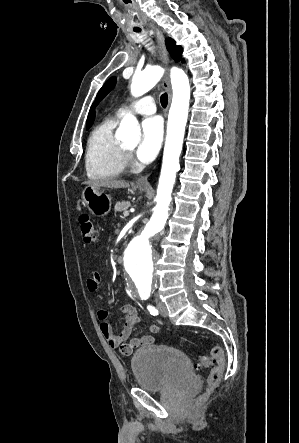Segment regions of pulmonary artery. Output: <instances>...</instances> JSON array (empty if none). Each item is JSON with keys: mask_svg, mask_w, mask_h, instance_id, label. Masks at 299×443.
Listing matches in <instances>:
<instances>
[{"mask_svg": "<svg viewBox=\"0 0 299 443\" xmlns=\"http://www.w3.org/2000/svg\"><path fill=\"white\" fill-rule=\"evenodd\" d=\"M127 111H133L141 115H151L156 111L154 99L151 96H145L129 106L120 108L115 115L120 117Z\"/></svg>", "mask_w": 299, "mask_h": 443, "instance_id": "e3ab8cb5", "label": "pulmonary artery"}]
</instances>
